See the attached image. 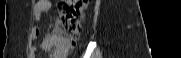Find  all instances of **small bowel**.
<instances>
[{
	"instance_id": "small-bowel-1",
	"label": "small bowel",
	"mask_w": 181,
	"mask_h": 58,
	"mask_svg": "<svg viewBox=\"0 0 181 58\" xmlns=\"http://www.w3.org/2000/svg\"><path fill=\"white\" fill-rule=\"evenodd\" d=\"M54 7V4L52 1H49V0H39L35 3V6H34V18L36 21H39L42 17V15L45 13V12H48L49 10H51L52 8ZM39 33H40V30L39 28H34L33 30V36L34 37H38L39 36ZM48 38L49 37H46L42 44H41V48L43 50H49L48 48ZM32 53L35 57V54H36V49L35 48H32Z\"/></svg>"
}]
</instances>
